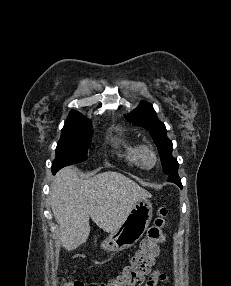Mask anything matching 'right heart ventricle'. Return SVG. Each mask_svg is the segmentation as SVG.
Here are the masks:
<instances>
[{
    "instance_id": "1",
    "label": "right heart ventricle",
    "mask_w": 231,
    "mask_h": 286,
    "mask_svg": "<svg viewBox=\"0 0 231 286\" xmlns=\"http://www.w3.org/2000/svg\"><path fill=\"white\" fill-rule=\"evenodd\" d=\"M114 146L118 156L128 165L133 167H141V149L142 145L138 142L120 137L116 139Z\"/></svg>"
}]
</instances>
